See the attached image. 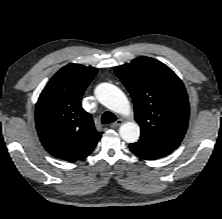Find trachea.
Masks as SVG:
<instances>
[{"instance_id": "3493384b", "label": "trachea", "mask_w": 222, "mask_h": 219, "mask_svg": "<svg viewBox=\"0 0 222 219\" xmlns=\"http://www.w3.org/2000/svg\"><path fill=\"white\" fill-rule=\"evenodd\" d=\"M116 119V116L112 112L107 111L103 113L101 117V122L102 124H109L116 121Z\"/></svg>"}]
</instances>
